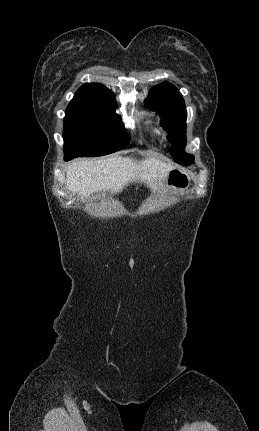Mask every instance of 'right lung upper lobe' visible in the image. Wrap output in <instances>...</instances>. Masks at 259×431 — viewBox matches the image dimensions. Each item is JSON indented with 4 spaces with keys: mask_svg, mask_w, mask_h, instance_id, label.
<instances>
[{
    "mask_svg": "<svg viewBox=\"0 0 259 431\" xmlns=\"http://www.w3.org/2000/svg\"><path fill=\"white\" fill-rule=\"evenodd\" d=\"M114 94L100 83H85L75 93L73 100L76 101H101Z\"/></svg>",
    "mask_w": 259,
    "mask_h": 431,
    "instance_id": "cb5924a9",
    "label": "right lung upper lobe"
}]
</instances>
